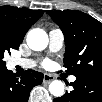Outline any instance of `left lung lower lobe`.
Here are the masks:
<instances>
[{"instance_id":"obj_1","label":"left lung lower lobe","mask_w":102,"mask_h":102,"mask_svg":"<svg viewBox=\"0 0 102 102\" xmlns=\"http://www.w3.org/2000/svg\"><path fill=\"white\" fill-rule=\"evenodd\" d=\"M73 90L66 92L62 97L54 99V102H101L102 80L92 78H76L70 84Z\"/></svg>"}]
</instances>
